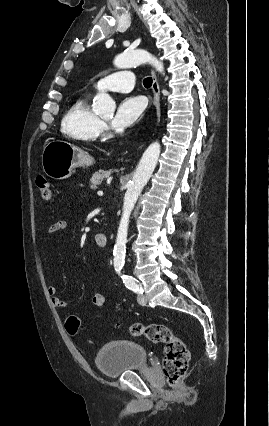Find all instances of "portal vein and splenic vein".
Wrapping results in <instances>:
<instances>
[{
    "label": "portal vein and splenic vein",
    "instance_id": "18ae733b",
    "mask_svg": "<svg viewBox=\"0 0 269 426\" xmlns=\"http://www.w3.org/2000/svg\"><path fill=\"white\" fill-rule=\"evenodd\" d=\"M97 194H98V196H102L103 195V191H98Z\"/></svg>",
    "mask_w": 269,
    "mask_h": 426
}]
</instances>
